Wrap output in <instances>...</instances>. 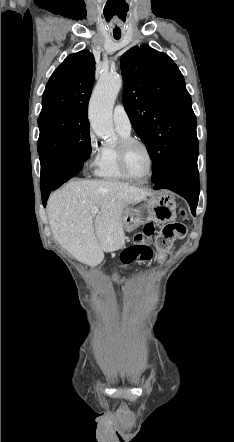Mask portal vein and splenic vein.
Returning a JSON list of instances; mask_svg holds the SVG:
<instances>
[{"label": "portal vein and splenic vein", "mask_w": 234, "mask_h": 442, "mask_svg": "<svg viewBox=\"0 0 234 442\" xmlns=\"http://www.w3.org/2000/svg\"><path fill=\"white\" fill-rule=\"evenodd\" d=\"M99 212V208L98 207H94L93 209H92V214H97Z\"/></svg>", "instance_id": "portal-vein-and-splenic-vein-1"}]
</instances>
